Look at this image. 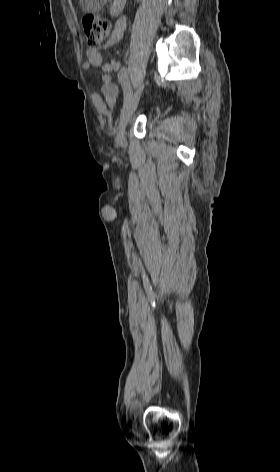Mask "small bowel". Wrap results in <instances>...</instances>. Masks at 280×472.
<instances>
[{
    "instance_id": "obj_1",
    "label": "small bowel",
    "mask_w": 280,
    "mask_h": 472,
    "mask_svg": "<svg viewBox=\"0 0 280 472\" xmlns=\"http://www.w3.org/2000/svg\"><path fill=\"white\" fill-rule=\"evenodd\" d=\"M125 29L124 22H118L109 38L106 46L112 45L120 41ZM93 68H101L103 75L101 76L100 91H93L91 100L97 111L102 114H109L110 108L117 103L119 96V87L112 82V74L120 72V64L115 61L104 62L99 51H94L88 54V59L83 63V70L85 72L91 71Z\"/></svg>"
}]
</instances>
